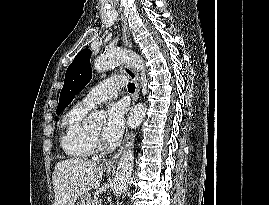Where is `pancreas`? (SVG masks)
<instances>
[{"instance_id":"1","label":"pancreas","mask_w":269,"mask_h":205,"mask_svg":"<svg viewBox=\"0 0 269 205\" xmlns=\"http://www.w3.org/2000/svg\"><path fill=\"white\" fill-rule=\"evenodd\" d=\"M92 205H101V200L99 198L95 197Z\"/></svg>"}]
</instances>
